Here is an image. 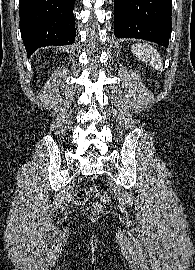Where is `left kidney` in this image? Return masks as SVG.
<instances>
[{"instance_id":"obj_1","label":"left kidney","mask_w":195,"mask_h":270,"mask_svg":"<svg viewBox=\"0 0 195 270\" xmlns=\"http://www.w3.org/2000/svg\"><path fill=\"white\" fill-rule=\"evenodd\" d=\"M133 76L137 79L138 74H137L136 72H133V73H132V77H133Z\"/></svg>"}]
</instances>
